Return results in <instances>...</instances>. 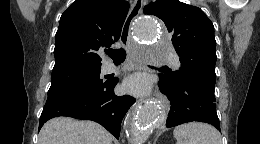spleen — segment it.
<instances>
[{
  "instance_id": "obj_1",
  "label": "spleen",
  "mask_w": 260,
  "mask_h": 144,
  "mask_svg": "<svg viewBox=\"0 0 260 144\" xmlns=\"http://www.w3.org/2000/svg\"><path fill=\"white\" fill-rule=\"evenodd\" d=\"M173 135L177 144H221L220 133L211 125L190 122L175 127Z\"/></svg>"
}]
</instances>
